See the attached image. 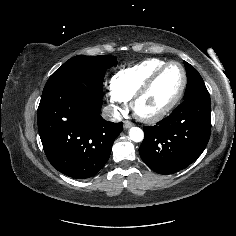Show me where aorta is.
<instances>
[{
    "mask_svg": "<svg viewBox=\"0 0 236 236\" xmlns=\"http://www.w3.org/2000/svg\"><path fill=\"white\" fill-rule=\"evenodd\" d=\"M130 139L134 142H141L144 138V133L139 127H131L129 130Z\"/></svg>",
    "mask_w": 236,
    "mask_h": 236,
    "instance_id": "obj_1",
    "label": "aorta"
}]
</instances>
